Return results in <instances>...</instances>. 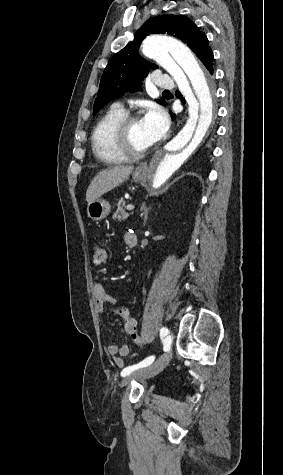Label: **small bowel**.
Segmentation results:
<instances>
[{"mask_svg":"<svg viewBox=\"0 0 283 475\" xmlns=\"http://www.w3.org/2000/svg\"><path fill=\"white\" fill-rule=\"evenodd\" d=\"M134 237L135 236L130 233L125 235L124 240L128 247L135 246L136 243L133 242ZM92 293L95 299V306L98 310H102L106 305L113 304L114 297L107 291L106 287L102 283L95 282L92 286ZM126 312H129L127 308ZM108 352L114 359L116 365L121 367L123 365L122 358L129 354V347L126 344H111L108 347Z\"/></svg>","mask_w":283,"mask_h":475,"instance_id":"1","label":"small bowel"}]
</instances>
